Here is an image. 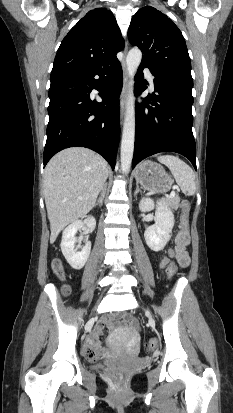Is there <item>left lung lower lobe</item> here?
<instances>
[{"mask_svg":"<svg viewBox=\"0 0 233 413\" xmlns=\"http://www.w3.org/2000/svg\"><path fill=\"white\" fill-rule=\"evenodd\" d=\"M145 67L155 76V93L144 98L146 105H136L132 168L148 156L171 151L184 155L196 169V145L192 133V88L141 63L135 78L136 95H141L145 90L146 83L142 84V70ZM148 102L155 107L148 106Z\"/></svg>","mask_w":233,"mask_h":413,"instance_id":"obj_1","label":"left lung lower lobe"}]
</instances>
